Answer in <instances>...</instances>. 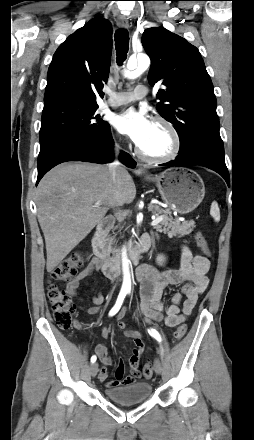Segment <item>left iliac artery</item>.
I'll list each match as a JSON object with an SVG mask.
<instances>
[{
  "mask_svg": "<svg viewBox=\"0 0 254 440\" xmlns=\"http://www.w3.org/2000/svg\"><path fill=\"white\" fill-rule=\"evenodd\" d=\"M148 333L152 336V337H154L157 341H161V336H160V334L158 333V331H156L155 329H148Z\"/></svg>",
  "mask_w": 254,
  "mask_h": 440,
  "instance_id": "left-iliac-artery-1",
  "label": "left iliac artery"
}]
</instances>
